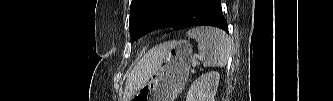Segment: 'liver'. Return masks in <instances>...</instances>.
Listing matches in <instances>:
<instances>
[{"instance_id": "obj_1", "label": "liver", "mask_w": 333, "mask_h": 101, "mask_svg": "<svg viewBox=\"0 0 333 101\" xmlns=\"http://www.w3.org/2000/svg\"><path fill=\"white\" fill-rule=\"evenodd\" d=\"M166 45L162 44L152 48L135 65L131 74L128 76L125 86L123 101H129L157 71Z\"/></svg>"}]
</instances>
